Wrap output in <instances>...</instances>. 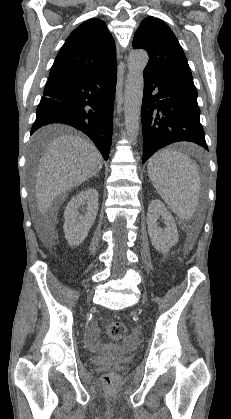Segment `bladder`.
<instances>
[{
    "instance_id": "bladder-1",
    "label": "bladder",
    "mask_w": 231,
    "mask_h": 419,
    "mask_svg": "<svg viewBox=\"0 0 231 419\" xmlns=\"http://www.w3.org/2000/svg\"><path fill=\"white\" fill-rule=\"evenodd\" d=\"M88 361L91 365H126L133 361V356L122 354H92Z\"/></svg>"
}]
</instances>
